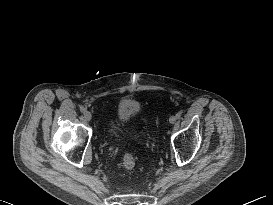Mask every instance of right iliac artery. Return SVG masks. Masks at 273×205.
Here are the masks:
<instances>
[{
	"label": "right iliac artery",
	"instance_id": "1",
	"mask_svg": "<svg viewBox=\"0 0 273 205\" xmlns=\"http://www.w3.org/2000/svg\"><path fill=\"white\" fill-rule=\"evenodd\" d=\"M85 107L84 106H80V111L82 112V113H84L85 112Z\"/></svg>",
	"mask_w": 273,
	"mask_h": 205
}]
</instances>
